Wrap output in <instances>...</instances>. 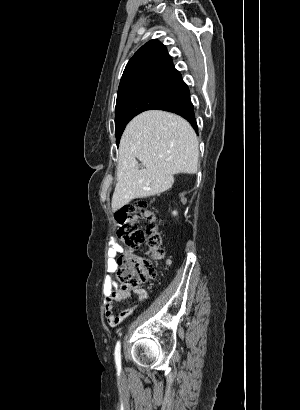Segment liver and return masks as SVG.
Listing matches in <instances>:
<instances>
[{"mask_svg": "<svg viewBox=\"0 0 300 410\" xmlns=\"http://www.w3.org/2000/svg\"><path fill=\"white\" fill-rule=\"evenodd\" d=\"M198 145L191 125L176 114L150 110L133 118L120 140L113 212L135 198L167 191L175 174H195ZM137 159L143 169H139Z\"/></svg>", "mask_w": 300, "mask_h": 410, "instance_id": "liver-1", "label": "liver"}]
</instances>
